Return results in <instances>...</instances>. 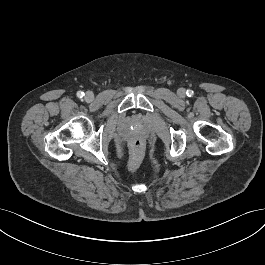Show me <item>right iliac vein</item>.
Here are the masks:
<instances>
[{"mask_svg": "<svg viewBox=\"0 0 265 265\" xmlns=\"http://www.w3.org/2000/svg\"><path fill=\"white\" fill-rule=\"evenodd\" d=\"M93 99H94L93 93L92 92H87L86 95H85V100L87 102H91V101H93Z\"/></svg>", "mask_w": 265, "mask_h": 265, "instance_id": "63e3f726", "label": "right iliac vein"}]
</instances>
